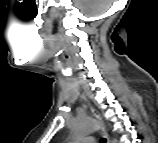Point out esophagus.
Here are the masks:
<instances>
[{
  "label": "esophagus",
  "instance_id": "obj_1",
  "mask_svg": "<svg viewBox=\"0 0 158 143\" xmlns=\"http://www.w3.org/2000/svg\"><path fill=\"white\" fill-rule=\"evenodd\" d=\"M89 108H90V111L93 114V116L97 120H100V114H99V112L93 106H91V105L89 106ZM101 135H102V137L104 139V143H109V137H108V134H107L104 126L101 127Z\"/></svg>",
  "mask_w": 158,
  "mask_h": 143
}]
</instances>
